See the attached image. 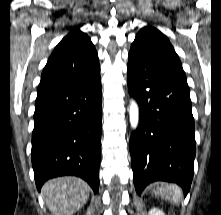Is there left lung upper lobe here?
I'll return each mask as SVG.
<instances>
[{
  "instance_id": "1",
  "label": "left lung upper lobe",
  "mask_w": 221,
  "mask_h": 215,
  "mask_svg": "<svg viewBox=\"0 0 221 215\" xmlns=\"http://www.w3.org/2000/svg\"><path fill=\"white\" fill-rule=\"evenodd\" d=\"M129 54L169 59L181 64L168 38L158 29L149 25L137 33Z\"/></svg>"
}]
</instances>
